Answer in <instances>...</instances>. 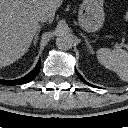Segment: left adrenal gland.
<instances>
[{
  "instance_id": "obj_1",
  "label": "left adrenal gland",
  "mask_w": 128,
  "mask_h": 128,
  "mask_svg": "<svg viewBox=\"0 0 128 128\" xmlns=\"http://www.w3.org/2000/svg\"><path fill=\"white\" fill-rule=\"evenodd\" d=\"M82 37L84 38V41H85V43H86L88 49L90 50V52L93 53V49H92V47H91V45H90V43H89L87 37L84 36L83 34H82Z\"/></svg>"
}]
</instances>
